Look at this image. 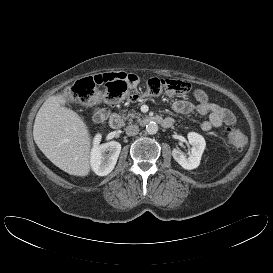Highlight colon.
<instances>
[{"label":"colon","mask_w":273,"mask_h":273,"mask_svg":"<svg viewBox=\"0 0 273 273\" xmlns=\"http://www.w3.org/2000/svg\"><path fill=\"white\" fill-rule=\"evenodd\" d=\"M132 75L126 73H103L83 78L77 81L69 91L70 99L78 104L91 105L103 99L109 103L135 100L137 96L128 92V82ZM98 86H104L102 94L97 92ZM188 82L173 78H150L146 83L149 96L157 97L163 94L168 96H182L189 92ZM231 144L239 151L247 145L246 135L237 129H228Z\"/></svg>","instance_id":"1"}]
</instances>
